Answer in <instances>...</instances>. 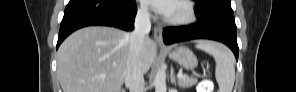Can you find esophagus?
I'll use <instances>...</instances> for the list:
<instances>
[{
  "mask_svg": "<svg viewBox=\"0 0 296 92\" xmlns=\"http://www.w3.org/2000/svg\"><path fill=\"white\" fill-rule=\"evenodd\" d=\"M154 39L160 46L163 45V32L160 26L154 27Z\"/></svg>",
  "mask_w": 296,
  "mask_h": 92,
  "instance_id": "obj_1",
  "label": "esophagus"
}]
</instances>
